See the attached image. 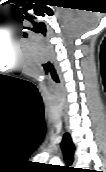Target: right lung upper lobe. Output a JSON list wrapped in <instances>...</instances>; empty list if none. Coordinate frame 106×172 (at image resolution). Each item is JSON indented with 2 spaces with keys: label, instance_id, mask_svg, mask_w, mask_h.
Masks as SVG:
<instances>
[{
  "label": "right lung upper lobe",
  "instance_id": "right-lung-upper-lobe-1",
  "mask_svg": "<svg viewBox=\"0 0 106 172\" xmlns=\"http://www.w3.org/2000/svg\"><path fill=\"white\" fill-rule=\"evenodd\" d=\"M62 150L64 152L65 161L68 165H71L74 161V151L75 147L72 142V139L68 133H66L63 137L62 143H61ZM73 169V168H72ZM70 171H73V170Z\"/></svg>",
  "mask_w": 106,
  "mask_h": 172
}]
</instances>
